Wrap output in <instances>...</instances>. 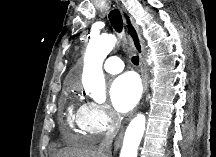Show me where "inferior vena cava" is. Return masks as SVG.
<instances>
[{
	"label": "inferior vena cava",
	"instance_id": "inferior-vena-cava-1",
	"mask_svg": "<svg viewBox=\"0 0 216 157\" xmlns=\"http://www.w3.org/2000/svg\"><path fill=\"white\" fill-rule=\"evenodd\" d=\"M113 134H107L98 147V152L101 157H108L111 150Z\"/></svg>",
	"mask_w": 216,
	"mask_h": 157
}]
</instances>
